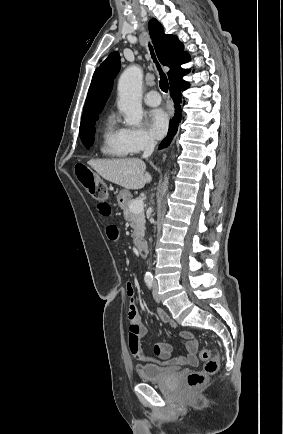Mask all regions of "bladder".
Returning <instances> with one entry per match:
<instances>
[{"label": "bladder", "instance_id": "bladder-1", "mask_svg": "<svg viewBox=\"0 0 283 434\" xmlns=\"http://www.w3.org/2000/svg\"><path fill=\"white\" fill-rule=\"evenodd\" d=\"M178 373L175 367H160L157 365H145L139 371L140 378L145 382H162Z\"/></svg>", "mask_w": 283, "mask_h": 434}]
</instances>
